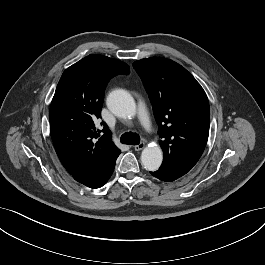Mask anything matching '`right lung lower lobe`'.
<instances>
[{
    "instance_id": "obj_1",
    "label": "right lung lower lobe",
    "mask_w": 265,
    "mask_h": 265,
    "mask_svg": "<svg viewBox=\"0 0 265 265\" xmlns=\"http://www.w3.org/2000/svg\"><path fill=\"white\" fill-rule=\"evenodd\" d=\"M119 154L120 152L105 158L90 172L76 175L73 178L79 183L90 188L102 187L111 177Z\"/></svg>"
}]
</instances>
